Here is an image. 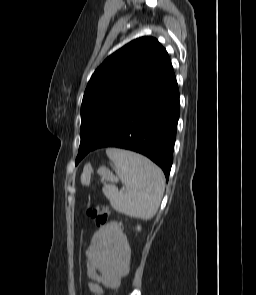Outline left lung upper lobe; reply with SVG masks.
Listing matches in <instances>:
<instances>
[{
	"label": "left lung upper lobe",
	"instance_id": "5c2ea615",
	"mask_svg": "<svg viewBox=\"0 0 256 295\" xmlns=\"http://www.w3.org/2000/svg\"><path fill=\"white\" fill-rule=\"evenodd\" d=\"M168 53L152 37L131 41L110 55L92 75L81 105V153L98 143L131 110L173 77Z\"/></svg>",
	"mask_w": 256,
	"mask_h": 295
}]
</instances>
